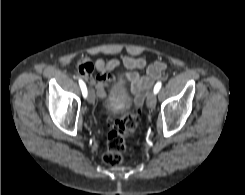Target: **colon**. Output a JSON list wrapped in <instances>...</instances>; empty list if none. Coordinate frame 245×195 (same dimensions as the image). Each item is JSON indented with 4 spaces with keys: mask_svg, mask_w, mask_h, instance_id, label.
<instances>
[{
    "mask_svg": "<svg viewBox=\"0 0 245 195\" xmlns=\"http://www.w3.org/2000/svg\"><path fill=\"white\" fill-rule=\"evenodd\" d=\"M141 119L140 111L128 113L110 124L103 161L111 166L119 165L125 153V141L137 129Z\"/></svg>",
    "mask_w": 245,
    "mask_h": 195,
    "instance_id": "1",
    "label": "colon"
}]
</instances>
